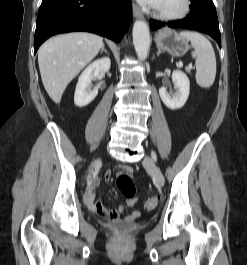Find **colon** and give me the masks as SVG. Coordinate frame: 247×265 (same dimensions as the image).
Listing matches in <instances>:
<instances>
[{
  "label": "colon",
  "mask_w": 247,
  "mask_h": 265,
  "mask_svg": "<svg viewBox=\"0 0 247 265\" xmlns=\"http://www.w3.org/2000/svg\"><path fill=\"white\" fill-rule=\"evenodd\" d=\"M117 187L120 192L128 199H133L136 196V186L133 179L126 175L121 174L117 178ZM157 199L155 197H151L145 202V209L148 211L154 210L157 206Z\"/></svg>",
  "instance_id": "5ec220e1"
}]
</instances>
